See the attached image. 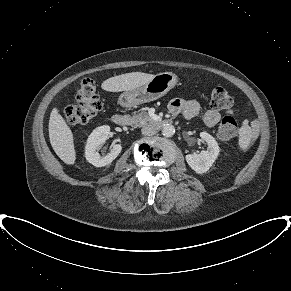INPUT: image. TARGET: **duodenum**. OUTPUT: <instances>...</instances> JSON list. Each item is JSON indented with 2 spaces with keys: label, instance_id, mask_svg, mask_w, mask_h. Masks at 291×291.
<instances>
[{
  "label": "duodenum",
  "instance_id": "1",
  "mask_svg": "<svg viewBox=\"0 0 291 291\" xmlns=\"http://www.w3.org/2000/svg\"><path fill=\"white\" fill-rule=\"evenodd\" d=\"M113 122L118 126H127L130 123L128 116L124 114H115L113 116ZM169 120H161L157 122V126L161 127L163 125L168 124Z\"/></svg>",
  "mask_w": 291,
  "mask_h": 291
}]
</instances>
